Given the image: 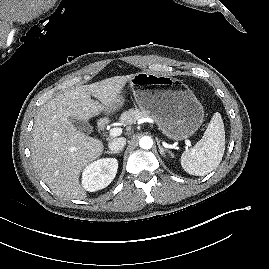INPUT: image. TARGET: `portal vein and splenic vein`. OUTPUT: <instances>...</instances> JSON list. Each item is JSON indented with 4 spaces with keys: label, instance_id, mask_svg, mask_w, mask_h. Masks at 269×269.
<instances>
[{
    "label": "portal vein and splenic vein",
    "instance_id": "18ae733b",
    "mask_svg": "<svg viewBox=\"0 0 269 269\" xmlns=\"http://www.w3.org/2000/svg\"><path fill=\"white\" fill-rule=\"evenodd\" d=\"M121 133H122V129H121V128H118V127H116V128H112V129L109 131V135H110L111 137L119 136V135H121ZM186 145L190 147V146H191V142H190L189 140H186Z\"/></svg>",
    "mask_w": 269,
    "mask_h": 269
}]
</instances>
